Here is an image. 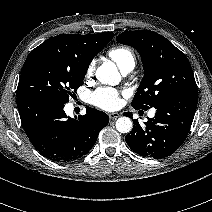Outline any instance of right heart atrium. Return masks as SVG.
<instances>
[{"instance_id":"d8ad5b80","label":"right heart atrium","mask_w":212,"mask_h":212,"mask_svg":"<svg viewBox=\"0 0 212 212\" xmlns=\"http://www.w3.org/2000/svg\"><path fill=\"white\" fill-rule=\"evenodd\" d=\"M94 68H95V63L92 61L86 69V77H90L93 74Z\"/></svg>"}]
</instances>
